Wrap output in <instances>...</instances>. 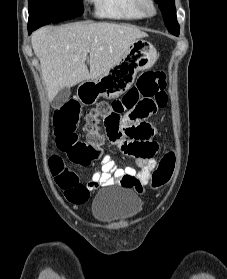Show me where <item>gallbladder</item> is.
<instances>
[{
  "instance_id": "1",
  "label": "gallbladder",
  "mask_w": 227,
  "mask_h": 279,
  "mask_svg": "<svg viewBox=\"0 0 227 279\" xmlns=\"http://www.w3.org/2000/svg\"><path fill=\"white\" fill-rule=\"evenodd\" d=\"M70 95V88L65 87L61 89L53 99L52 107L55 109L62 107L69 100Z\"/></svg>"
}]
</instances>
